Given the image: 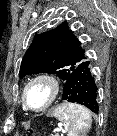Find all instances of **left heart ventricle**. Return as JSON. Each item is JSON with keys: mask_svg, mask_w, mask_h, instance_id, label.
Masks as SVG:
<instances>
[{"mask_svg": "<svg viewBox=\"0 0 117 136\" xmlns=\"http://www.w3.org/2000/svg\"><path fill=\"white\" fill-rule=\"evenodd\" d=\"M50 96L49 87L43 82H37L30 86L27 91L28 105L33 109L42 108L48 101Z\"/></svg>", "mask_w": 117, "mask_h": 136, "instance_id": "b2bd125f", "label": "left heart ventricle"}]
</instances>
